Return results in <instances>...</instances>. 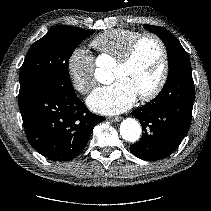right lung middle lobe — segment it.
Wrapping results in <instances>:
<instances>
[{
  "mask_svg": "<svg viewBox=\"0 0 211 211\" xmlns=\"http://www.w3.org/2000/svg\"><path fill=\"white\" fill-rule=\"evenodd\" d=\"M93 31L56 26L32 44L20 68V91L43 81H50L73 89L68 62L75 48Z\"/></svg>",
  "mask_w": 211,
  "mask_h": 211,
  "instance_id": "dd1d6c3e",
  "label": "right lung middle lobe"
}]
</instances>
